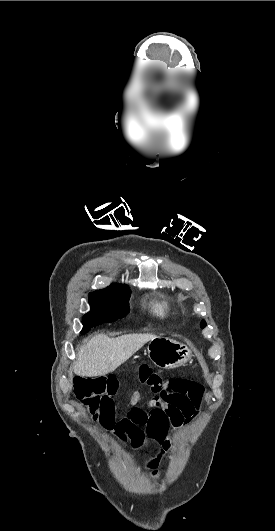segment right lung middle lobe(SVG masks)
<instances>
[{"label": "right lung middle lobe", "instance_id": "right-lung-middle-lobe-1", "mask_svg": "<svg viewBox=\"0 0 275 531\" xmlns=\"http://www.w3.org/2000/svg\"><path fill=\"white\" fill-rule=\"evenodd\" d=\"M129 288H106L94 291L89 296L90 311L82 319V334L92 327L116 321L128 312Z\"/></svg>", "mask_w": 275, "mask_h": 531}]
</instances>
